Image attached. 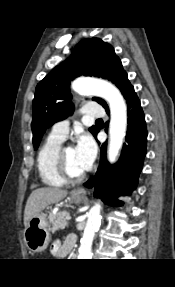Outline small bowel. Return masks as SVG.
Returning a JSON list of instances; mask_svg holds the SVG:
<instances>
[{
  "label": "small bowel",
  "instance_id": "c3829d8e",
  "mask_svg": "<svg viewBox=\"0 0 175 287\" xmlns=\"http://www.w3.org/2000/svg\"><path fill=\"white\" fill-rule=\"evenodd\" d=\"M75 241L76 238L73 235L68 236L63 244L60 241L56 240L51 246V251L55 256L63 258L68 255Z\"/></svg>",
  "mask_w": 175,
  "mask_h": 287
}]
</instances>
